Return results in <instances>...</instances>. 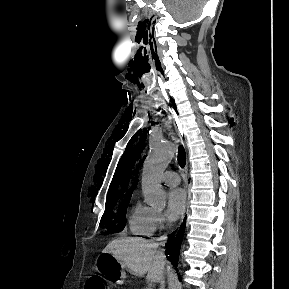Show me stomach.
Returning <instances> with one entry per match:
<instances>
[{"mask_svg":"<svg viewBox=\"0 0 289 289\" xmlns=\"http://www.w3.org/2000/svg\"><path fill=\"white\" fill-rule=\"evenodd\" d=\"M95 269L98 273L110 278L116 283L123 282L126 277L121 263L110 253H102L97 257Z\"/></svg>","mask_w":289,"mask_h":289,"instance_id":"1","label":"stomach"}]
</instances>
